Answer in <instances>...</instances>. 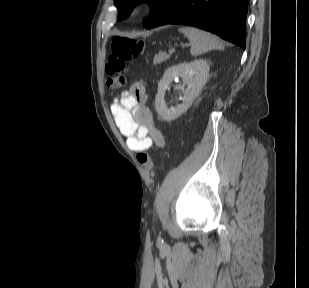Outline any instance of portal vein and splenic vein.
<instances>
[{
	"instance_id": "18ae733b",
	"label": "portal vein and splenic vein",
	"mask_w": 309,
	"mask_h": 288,
	"mask_svg": "<svg viewBox=\"0 0 309 288\" xmlns=\"http://www.w3.org/2000/svg\"><path fill=\"white\" fill-rule=\"evenodd\" d=\"M174 52H175V49H174V48H172V49L169 50V54H173Z\"/></svg>"
}]
</instances>
